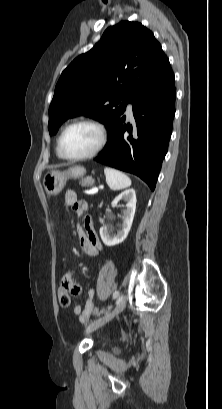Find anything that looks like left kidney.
<instances>
[{"instance_id": "obj_1", "label": "left kidney", "mask_w": 222, "mask_h": 409, "mask_svg": "<svg viewBox=\"0 0 222 409\" xmlns=\"http://www.w3.org/2000/svg\"><path fill=\"white\" fill-rule=\"evenodd\" d=\"M120 200L127 202V208L122 215V229L117 234L112 233V228L103 226L100 228V236L106 246H114L122 243L131 229L133 218L136 210V193L134 189H128L120 193L112 201V205H116Z\"/></svg>"}]
</instances>
